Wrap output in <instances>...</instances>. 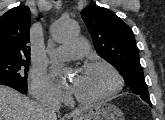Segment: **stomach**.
Wrapping results in <instances>:
<instances>
[{
  "instance_id": "1",
  "label": "stomach",
  "mask_w": 165,
  "mask_h": 120,
  "mask_svg": "<svg viewBox=\"0 0 165 120\" xmlns=\"http://www.w3.org/2000/svg\"><path fill=\"white\" fill-rule=\"evenodd\" d=\"M73 120H125L122 111L115 105L99 103L87 107Z\"/></svg>"
}]
</instances>
